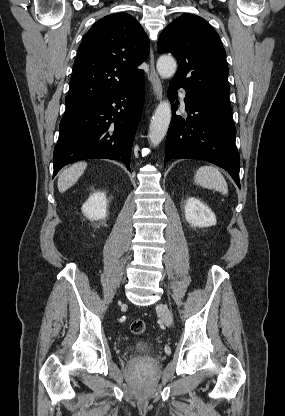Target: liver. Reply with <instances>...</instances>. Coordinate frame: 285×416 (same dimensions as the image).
Wrapping results in <instances>:
<instances>
[{
    "label": "liver",
    "mask_w": 285,
    "mask_h": 416,
    "mask_svg": "<svg viewBox=\"0 0 285 416\" xmlns=\"http://www.w3.org/2000/svg\"><path fill=\"white\" fill-rule=\"evenodd\" d=\"M86 166L87 164H85V162H78V164H73V166H70V168H67V170H64V172L60 174L57 186L61 194L78 182V178L84 174Z\"/></svg>",
    "instance_id": "6515ba94"
}]
</instances>
